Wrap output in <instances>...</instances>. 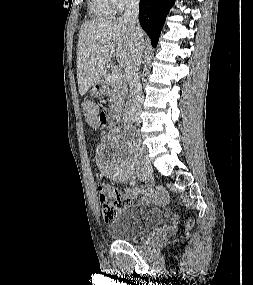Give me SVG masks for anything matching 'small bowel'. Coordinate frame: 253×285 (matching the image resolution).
<instances>
[{"instance_id":"obj_1","label":"small bowel","mask_w":253,"mask_h":285,"mask_svg":"<svg viewBox=\"0 0 253 285\" xmlns=\"http://www.w3.org/2000/svg\"><path fill=\"white\" fill-rule=\"evenodd\" d=\"M110 113L109 109H100L98 122H100V126H109V118L108 114ZM134 180V179H133ZM131 199H136L140 197V202L142 204H153L159 206H165L168 203V195L166 190L159 186L156 191L152 190L149 187H141V188H125L122 190Z\"/></svg>"}]
</instances>
